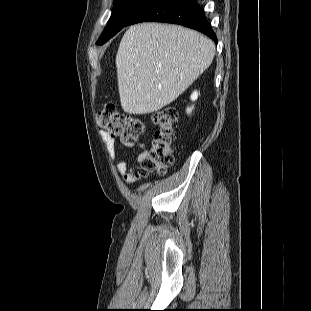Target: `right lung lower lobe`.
Returning <instances> with one entry per match:
<instances>
[{"mask_svg": "<svg viewBox=\"0 0 311 311\" xmlns=\"http://www.w3.org/2000/svg\"><path fill=\"white\" fill-rule=\"evenodd\" d=\"M145 21L179 24L202 32L217 42V37L196 0H155L139 11L127 26Z\"/></svg>", "mask_w": 311, "mask_h": 311, "instance_id": "1", "label": "right lung lower lobe"}]
</instances>
